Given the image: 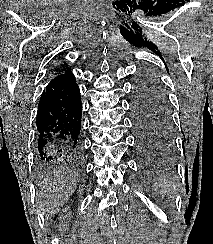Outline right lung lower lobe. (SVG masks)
Instances as JSON below:
<instances>
[{"label": "right lung lower lobe", "instance_id": "right-lung-lower-lobe-1", "mask_svg": "<svg viewBox=\"0 0 213 244\" xmlns=\"http://www.w3.org/2000/svg\"><path fill=\"white\" fill-rule=\"evenodd\" d=\"M82 105L70 70L53 78L42 92L37 112L38 153L44 161H75L82 152Z\"/></svg>", "mask_w": 213, "mask_h": 244}]
</instances>
